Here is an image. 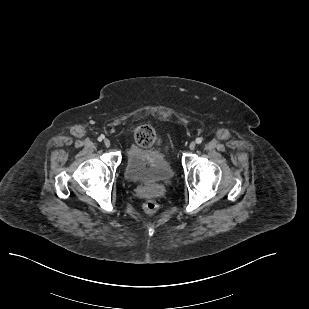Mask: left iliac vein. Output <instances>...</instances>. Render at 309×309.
Segmentation results:
<instances>
[{
    "mask_svg": "<svg viewBox=\"0 0 309 309\" xmlns=\"http://www.w3.org/2000/svg\"><path fill=\"white\" fill-rule=\"evenodd\" d=\"M195 147H196V143H195V142H191V143L189 144V148H190L191 150H194Z\"/></svg>",
    "mask_w": 309,
    "mask_h": 309,
    "instance_id": "obj_1",
    "label": "left iliac vein"
}]
</instances>
